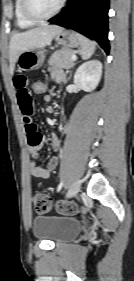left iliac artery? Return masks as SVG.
Masks as SVG:
<instances>
[{
  "label": "left iliac artery",
  "mask_w": 134,
  "mask_h": 281,
  "mask_svg": "<svg viewBox=\"0 0 134 281\" xmlns=\"http://www.w3.org/2000/svg\"><path fill=\"white\" fill-rule=\"evenodd\" d=\"M63 185H64V182L61 181L60 184L58 185V188H57L58 192L62 189Z\"/></svg>",
  "instance_id": "44dca946"
}]
</instances>
